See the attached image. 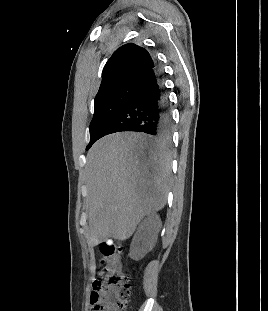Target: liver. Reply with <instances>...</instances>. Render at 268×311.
<instances>
[{"label": "liver", "mask_w": 268, "mask_h": 311, "mask_svg": "<svg viewBox=\"0 0 268 311\" xmlns=\"http://www.w3.org/2000/svg\"><path fill=\"white\" fill-rule=\"evenodd\" d=\"M171 160L139 133H115L87 153L88 244L126 240L141 219L167 201Z\"/></svg>", "instance_id": "1"}]
</instances>
